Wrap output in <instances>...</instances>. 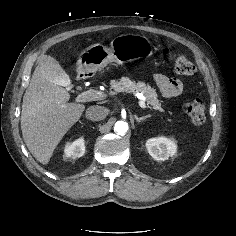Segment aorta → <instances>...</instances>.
I'll list each match as a JSON object with an SVG mask.
<instances>
[{
	"label": "aorta",
	"instance_id": "obj_1",
	"mask_svg": "<svg viewBox=\"0 0 236 236\" xmlns=\"http://www.w3.org/2000/svg\"><path fill=\"white\" fill-rule=\"evenodd\" d=\"M114 130L119 135H124L128 131V124L125 121H117L114 126Z\"/></svg>",
	"mask_w": 236,
	"mask_h": 236
}]
</instances>
